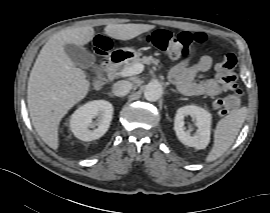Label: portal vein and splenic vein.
<instances>
[{
	"mask_svg": "<svg viewBox=\"0 0 270 213\" xmlns=\"http://www.w3.org/2000/svg\"><path fill=\"white\" fill-rule=\"evenodd\" d=\"M144 70L143 64H134L128 68L123 69L118 73L120 77H129L133 75H137Z\"/></svg>",
	"mask_w": 270,
	"mask_h": 213,
	"instance_id": "portal-vein-and-splenic-vein-1",
	"label": "portal vein and splenic vein"
}]
</instances>
